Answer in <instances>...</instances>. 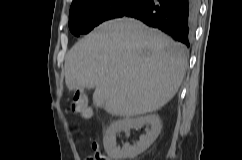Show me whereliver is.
<instances>
[{"mask_svg":"<svg viewBox=\"0 0 242 160\" xmlns=\"http://www.w3.org/2000/svg\"><path fill=\"white\" fill-rule=\"evenodd\" d=\"M186 49L138 20L99 25L78 41L65 60L69 91L95 88L93 102L107 113L131 117L154 112L177 93Z\"/></svg>","mask_w":242,"mask_h":160,"instance_id":"1","label":"liver"}]
</instances>
